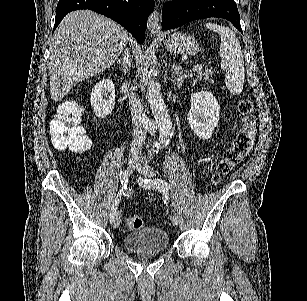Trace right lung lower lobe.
Segmentation results:
<instances>
[{"instance_id":"98d812e1","label":"right lung lower lobe","mask_w":307,"mask_h":301,"mask_svg":"<svg viewBox=\"0 0 307 301\" xmlns=\"http://www.w3.org/2000/svg\"><path fill=\"white\" fill-rule=\"evenodd\" d=\"M154 6L153 0H59L54 29L69 12L90 9L118 22L141 44Z\"/></svg>"}]
</instances>
